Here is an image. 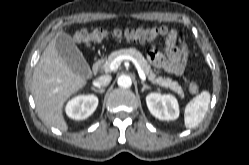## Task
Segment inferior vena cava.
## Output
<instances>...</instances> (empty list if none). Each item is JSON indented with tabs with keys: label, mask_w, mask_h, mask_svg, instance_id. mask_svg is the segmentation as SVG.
<instances>
[{
	"label": "inferior vena cava",
	"mask_w": 249,
	"mask_h": 165,
	"mask_svg": "<svg viewBox=\"0 0 249 165\" xmlns=\"http://www.w3.org/2000/svg\"><path fill=\"white\" fill-rule=\"evenodd\" d=\"M111 80H112V77L110 75H103V76L96 78L93 81V85L97 88L106 87L107 85L110 84Z\"/></svg>",
	"instance_id": "inferior-vena-cava-1"
}]
</instances>
